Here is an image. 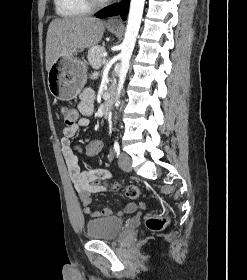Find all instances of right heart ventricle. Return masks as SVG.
Segmentation results:
<instances>
[{
  "instance_id": "obj_1",
  "label": "right heart ventricle",
  "mask_w": 247,
  "mask_h": 280,
  "mask_svg": "<svg viewBox=\"0 0 247 280\" xmlns=\"http://www.w3.org/2000/svg\"><path fill=\"white\" fill-rule=\"evenodd\" d=\"M54 4L57 14L65 18L86 15L91 11L85 0H54Z\"/></svg>"
}]
</instances>
